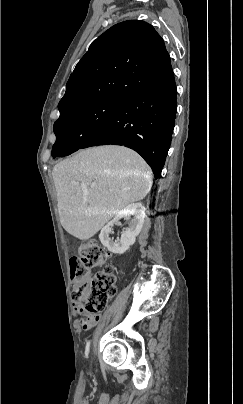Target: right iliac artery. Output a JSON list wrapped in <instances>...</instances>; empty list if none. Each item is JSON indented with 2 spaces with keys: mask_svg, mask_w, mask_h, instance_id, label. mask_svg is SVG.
Returning a JSON list of instances; mask_svg holds the SVG:
<instances>
[{
  "mask_svg": "<svg viewBox=\"0 0 243 404\" xmlns=\"http://www.w3.org/2000/svg\"><path fill=\"white\" fill-rule=\"evenodd\" d=\"M89 350H90V341L87 342V345L85 348V357L86 358H88Z\"/></svg>",
  "mask_w": 243,
  "mask_h": 404,
  "instance_id": "right-iliac-artery-1",
  "label": "right iliac artery"
}]
</instances>
